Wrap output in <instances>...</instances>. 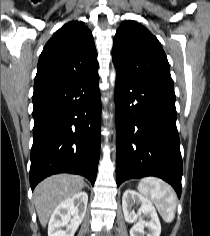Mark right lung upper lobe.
<instances>
[{
	"label": "right lung upper lobe",
	"mask_w": 210,
	"mask_h": 236,
	"mask_svg": "<svg viewBox=\"0 0 210 236\" xmlns=\"http://www.w3.org/2000/svg\"><path fill=\"white\" fill-rule=\"evenodd\" d=\"M98 70L97 51L82 21L61 27L45 45L37 67L34 91H52Z\"/></svg>",
	"instance_id": "1"
}]
</instances>
